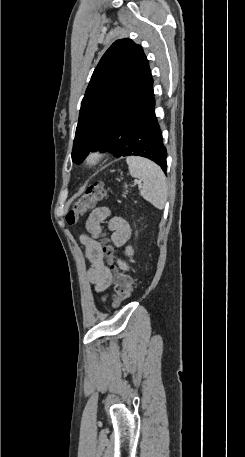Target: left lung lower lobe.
I'll return each mask as SVG.
<instances>
[{"label":"left lung lower lobe","instance_id":"obj_1","mask_svg":"<svg viewBox=\"0 0 245 457\" xmlns=\"http://www.w3.org/2000/svg\"><path fill=\"white\" fill-rule=\"evenodd\" d=\"M152 91L138 110L121 113L108 126L88 138L75 163H81L90 151H112L115 157L142 156L154 161L164 172L167 169V151L154 112Z\"/></svg>","mask_w":245,"mask_h":457}]
</instances>
